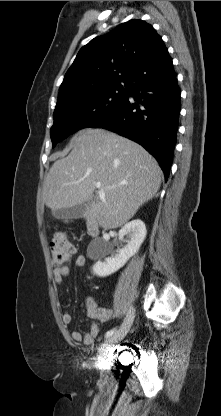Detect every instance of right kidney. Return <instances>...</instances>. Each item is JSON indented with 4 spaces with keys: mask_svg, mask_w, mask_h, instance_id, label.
Masks as SVG:
<instances>
[{
    "mask_svg": "<svg viewBox=\"0 0 221 416\" xmlns=\"http://www.w3.org/2000/svg\"><path fill=\"white\" fill-rule=\"evenodd\" d=\"M146 234V226L140 219L125 224L118 235L120 240L127 235L129 237V240L126 241L127 244L117 250L115 255L105 258L104 261L96 262L92 268L93 273L100 277H106L118 271L139 250Z\"/></svg>",
    "mask_w": 221,
    "mask_h": 416,
    "instance_id": "obj_1",
    "label": "right kidney"
}]
</instances>
